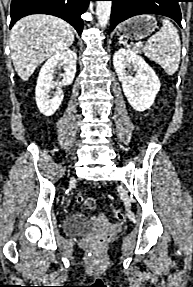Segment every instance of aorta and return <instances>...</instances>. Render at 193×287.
<instances>
[{"label":"aorta","mask_w":193,"mask_h":287,"mask_svg":"<svg viewBox=\"0 0 193 287\" xmlns=\"http://www.w3.org/2000/svg\"><path fill=\"white\" fill-rule=\"evenodd\" d=\"M111 1H97L96 2V15L98 23L101 27H106L111 14Z\"/></svg>","instance_id":"aorta-1"}]
</instances>
